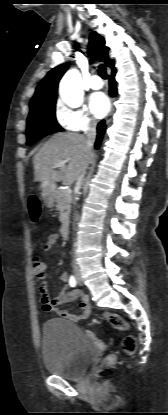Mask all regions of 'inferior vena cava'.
Segmentation results:
<instances>
[{"mask_svg": "<svg viewBox=\"0 0 168 415\" xmlns=\"http://www.w3.org/2000/svg\"><path fill=\"white\" fill-rule=\"evenodd\" d=\"M85 134H86L85 135V145H86V148L88 149V151L90 152V151H92V148H93V145H94V142H95V139H96V123H94V122L90 123ZM85 169H86V167H85ZM85 169L83 170L82 174L77 179V184H79V185L82 183V181L84 179ZM74 205H76V201H74ZM77 218H78V214L75 213L74 214V220L76 221ZM74 225H75V223H74ZM72 266L74 268H77L74 258H73V261H72Z\"/></svg>", "mask_w": 168, "mask_h": 415, "instance_id": "obj_1", "label": "inferior vena cava"}]
</instances>
